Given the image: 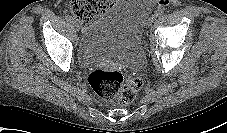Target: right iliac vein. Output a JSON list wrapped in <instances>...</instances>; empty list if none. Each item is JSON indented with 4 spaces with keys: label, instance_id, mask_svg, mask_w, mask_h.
<instances>
[{
    "label": "right iliac vein",
    "instance_id": "1",
    "mask_svg": "<svg viewBox=\"0 0 227 133\" xmlns=\"http://www.w3.org/2000/svg\"><path fill=\"white\" fill-rule=\"evenodd\" d=\"M73 25L76 28V30L79 31L80 28H79V25L76 21H73Z\"/></svg>",
    "mask_w": 227,
    "mask_h": 133
}]
</instances>
